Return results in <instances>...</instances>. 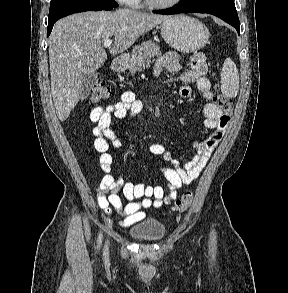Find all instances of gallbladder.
<instances>
[{
  "mask_svg": "<svg viewBox=\"0 0 288 293\" xmlns=\"http://www.w3.org/2000/svg\"><path fill=\"white\" fill-rule=\"evenodd\" d=\"M98 77V72H93L87 75L82 82V88H81V99H85L88 97L91 88L95 82V80Z\"/></svg>",
  "mask_w": 288,
  "mask_h": 293,
  "instance_id": "obj_1",
  "label": "gallbladder"
}]
</instances>
